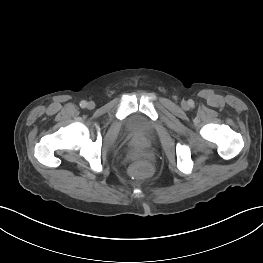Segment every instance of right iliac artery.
Listing matches in <instances>:
<instances>
[{
    "label": "right iliac artery",
    "instance_id": "right-iliac-artery-1",
    "mask_svg": "<svg viewBox=\"0 0 263 263\" xmlns=\"http://www.w3.org/2000/svg\"><path fill=\"white\" fill-rule=\"evenodd\" d=\"M86 106H87V102L86 101L83 100V101L80 102V107L81 108H85Z\"/></svg>",
    "mask_w": 263,
    "mask_h": 263
}]
</instances>
